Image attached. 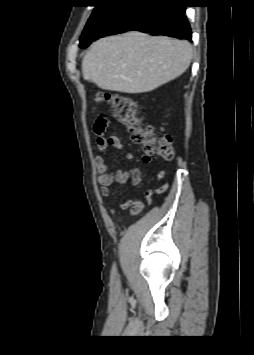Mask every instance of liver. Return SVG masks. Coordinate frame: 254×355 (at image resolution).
<instances>
[{
  "label": "liver",
  "mask_w": 254,
  "mask_h": 355,
  "mask_svg": "<svg viewBox=\"0 0 254 355\" xmlns=\"http://www.w3.org/2000/svg\"><path fill=\"white\" fill-rule=\"evenodd\" d=\"M192 56L186 40L131 31L96 41L82 60V73L103 90L144 93L182 75Z\"/></svg>",
  "instance_id": "1"
}]
</instances>
